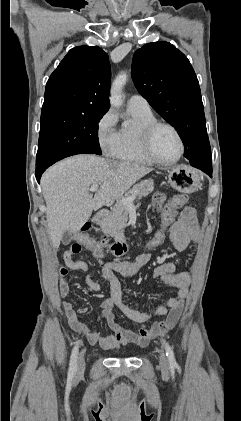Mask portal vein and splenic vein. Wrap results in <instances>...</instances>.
<instances>
[{"label": "portal vein and splenic vein", "instance_id": "portal-vein-and-splenic-vein-1", "mask_svg": "<svg viewBox=\"0 0 241 421\" xmlns=\"http://www.w3.org/2000/svg\"><path fill=\"white\" fill-rule=\"evenodd\" d=\"M98 188H99L98 184H93L90 187V192H96ZM133 200H134V196L127 199H122L121 203L126 205L129 208H134Z\"/></svg>", "mask_w": 241, "mask_h": 421}]
</instances>
